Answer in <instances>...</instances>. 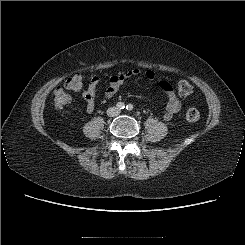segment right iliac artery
I'll return each mask as SVG.
<instances>
[{
  "label": "right iliac artery",
  "instance_id": "1",
  "mask_svg": "<svg viewBox=\"0 0 245 245\" xmlns=\"http://www.w3.org/2000/svg\"><path fill=\"white\" fill-rule=\"evenodd\" d=\"M116 106H117V108H118L119 110H122V109L125 108V104H124L123 102H118Z\"/></svg>",
  "mask_w": 245,
  "mask_h": 245
}]
</instances>
